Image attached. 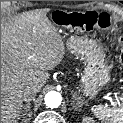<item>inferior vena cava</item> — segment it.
<instances>
[{
	"mask_svg": "<svg viewBox=\"0 0 123 123\" xmlns=\"http://www.w3.org/2000/svg\"><path fill=\"white\" fill-rule=\"evenodd\" d=\"M34 94H35V90L33 89V88H26L24 91H23V95H22V97H23V99L25 100V101H28V100H30L31 98L30 97H34Z\"/></svg>",
	"mask_w": 123,
	"mask_h": 123,
	"instance_id": "inferior-vena-cava-1",
	"label": "inferior vena cava"
}]
</instances>
